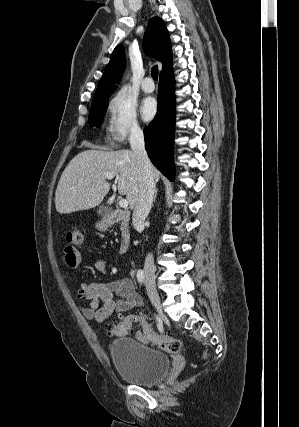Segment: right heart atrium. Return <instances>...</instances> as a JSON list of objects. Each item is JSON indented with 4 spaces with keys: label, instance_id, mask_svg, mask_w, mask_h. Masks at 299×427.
I'll list each match as a JSON object with an SVG mask.
<instances>
[{
    "label": "right heart atrium",
    "instance_id": "d8ad5b80",
    "mask_svg": "<svg viewBox=\"0 0 299 427\" xmlns=\"http://www.w3.org/2000/svg\"><path fill=\"white\" fill-rule=\"evenodd\" d=\"M107 137L114 144H121L131 136L141 133L135 102L124 91L115 92L108 100Z\"/></svg>",
    "mask_w": 299,
    "mask_h": 427
}]
</instances>
